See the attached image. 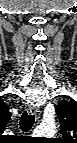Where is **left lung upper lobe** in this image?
I'll list each match as a JSON object with an SVG mask.
<instances>
[{
  "label": "left lung upper lobe",
  "mask_w": 77,
  "mask_h": 143,
  "mask_svg": "<svg viewBox=\"0 0 77 143\" xmlns=\"http://www.w3.org/2000/svg\"><path fill=\"white\" fill-rule=\"evenodd\" d=\"M56 113L60 118L63 139L71 143L77 137V102H59Z\"/></svg>",
  "instance_id": "obj_1"
}]
</instances>
